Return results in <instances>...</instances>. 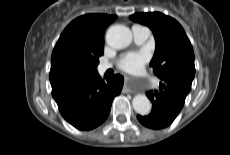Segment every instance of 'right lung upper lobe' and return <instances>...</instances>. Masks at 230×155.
Listing matches in <instances>:
<instances>
[{"mask_svg": "<svg viewBox=\"0 0 230 155\" xmlns=\"http://www.w3.org/2000/svg\"><path fill=\"white\" fill-rule=\"evenodd\" d=\"M117 16L86 14L73 20L62 32L52 57L50 81L66 79L63 69L71 64L91 65L104 53V31Z\"/></svg>", "mask_w": 230, "mask_h": 155, "instance_id": "obj_1", "label": "right lung upper lobe"}]
</instances>
